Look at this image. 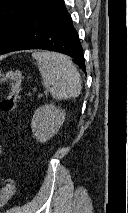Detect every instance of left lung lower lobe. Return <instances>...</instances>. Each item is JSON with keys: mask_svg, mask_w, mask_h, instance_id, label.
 Listing matches in <instances>:
<instances>
[{"mask_svg": "<svg viewBox=\"0 0 128 213\" xmlns=\"http://www.w3.org/2000/svg\"><path fill=\"white\" fill-rule=\"evenodd\" d=\"M26 49H45L69 55L85 71L82 46L64 0H39L1 54Z\"/></svg>", "mask_w": 128, "mask_h": 213, "instance_id": "obj_1", "label": "left lung lower lobe"}]
</instances>
